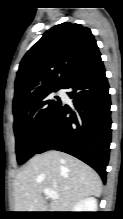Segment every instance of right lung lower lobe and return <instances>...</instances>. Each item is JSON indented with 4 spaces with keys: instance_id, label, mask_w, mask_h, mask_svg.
Listing matches in <instances>:
<instances>
[{
    "instance_id": "98d812e1",
    "label": "right lung lower lobe",
    "mask_w": 123,
    "mask_h": 219,
    "mask_svg": "<svg viewBox=\"0 0 123 219\" xmlns=\"http://www.w3.org/2000/svg\"><path fill=\"white\" fill-rule=\"evenodd\" d=\"M74 107L61 103L47 126L40 154L52 148L71 154L94 168L106 182L111 142L109 85L101 58L73 75L63 86Z\"/></svg>"
}]
</instances>
